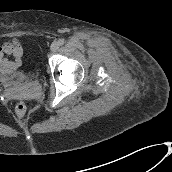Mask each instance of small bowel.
<instances>
[{"label": "small bowel", "instance_id": "c3829d8e", "mask_svg": "<svg viewBox=\"0 0 172 172\" xmlns=\"http://www.w3.org/2000/svg\"><path fill=\"white\" fill-rule=\"evenodd\" d=\"M23 49L16 41L4 42L0 45V79L3 83H8L16 76L22 66ZM13 56V60L8 59Z\"/></svg>", "mask_w": 172, "mask_h": 172}]
</instances>
